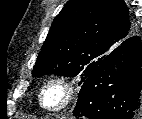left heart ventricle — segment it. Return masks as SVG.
Here are the masks:
<instances>
[{"instance_id":"b2bd125f","label":"left heart ventricle","mask_w":142,"mask_h":119,"mask_svg":"<svg viewBox=\"0 0 142 119\" xmlns=\"http://www.w3.org/2000/svg\"><path fill=\"white\" fill-rule=\"evenodd\" d=\"M60 96V90L57 88H52L47 92L45 100L48 104H54L60 99Z\"/></svg>"}]
</instances>
